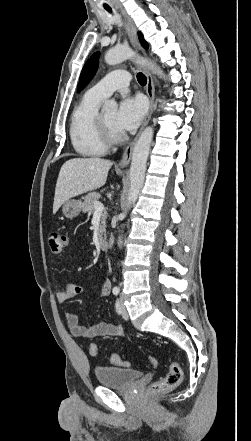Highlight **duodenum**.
I'll list each match as a JSON object with an SVG mask.
<instances>
[{"label": "duodenum", "instance_id": "1", "mask_svg": "<svg viewBox=\"0 0 251 441\" xmlns=\"http://www.w3.org/2000/svg\"><path fill=\"white\" fill-rule=\"evenodd\" d=\"M99 246H100V248H101V250H103V251H106V250H108V248H109V242H108V240L107 239H101L100 241H99Z\"/></svg>", "mask_w": 251, "mask_h": 441}]
</instances>
